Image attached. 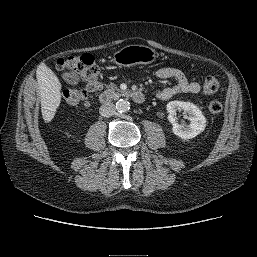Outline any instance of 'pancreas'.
Listing matches in <instances>:
<instances>
[{"label":"pancreas","mask_w":257,"mask_h":257,"mask_svg":"<svg viewBox=\"0 0 257 257\" xmlns=\"http://www.w3.org/2000/svg\"><path fill=\"white\" fill-rule=\"evenodd\" d=\"M105 93L110 97V98H117L121 95H123V92L116 87L114 84H110L106 87Z\"/></svg>","instance_id":"pancreas-1"}]
</instances>
